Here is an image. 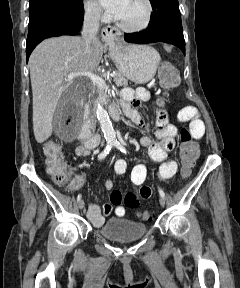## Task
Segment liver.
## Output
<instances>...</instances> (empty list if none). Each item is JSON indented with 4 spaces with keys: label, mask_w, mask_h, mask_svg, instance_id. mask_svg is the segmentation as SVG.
<instances>
[{
    "label": "liver",
    "mask_w": 240,
    "mask_h": 288,
    "mask_svg": "<svg viewBox=\"0 0 240 288\" xmlns=\"http://www.w3.org/2000/svg\"><path fill=\"white\" fill-rule=\"evenodd\" d=\"M105 47L97 40L89 53L81 37L61 36L42 41L29 59L33 94V131L38 143L52 134L53 115L62 93L73 83L70 73L92 72L98 67Z\"/></svg>",
    "instance_id": "6515ba94"
}]
</instances>
